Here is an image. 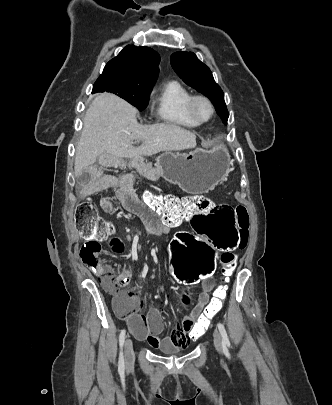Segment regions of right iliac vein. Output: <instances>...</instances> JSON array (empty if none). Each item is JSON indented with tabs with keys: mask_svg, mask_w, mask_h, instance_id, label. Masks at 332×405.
Masks as SVG:
<instances>
[{
	"mask_svg": "<svg viewBox=\"0 0 332 405\" xmlns=\"http://www.w3.org/2000/svg\"><path fill=\"white\" fill-rule=\"evenodd\" d=\"M125 361H126V365L129 367L133 364L134 362V358H135V354H134V350H133V343L131 339H127L125 341Z\"/></svg>",
	"mask_w": 332,
	"mask_h": 405,
	"instance_id": "right-iliac-vein-1",
	"label": "right iliac vein"
}]
</instances>
